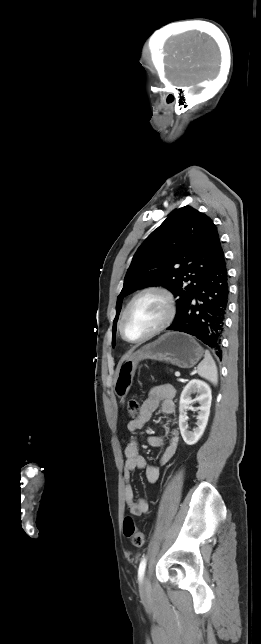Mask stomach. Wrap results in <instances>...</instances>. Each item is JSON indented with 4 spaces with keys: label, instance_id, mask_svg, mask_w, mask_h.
I'll return each mask as SVG.
<instances>
[{
    "label": "stomach",
    "instance_id": "obj_1",
    "mask_svg": "<svg viewBox=\"0 0 261 644\" xmlns=\"http://www.w3.org/2000/svg\"><path fill=\"white\" fill-rule=\"evenodd\" d=\"M203 348L185 333L169 332L135 352L125 355L117 369L114 391L120 398L126 397L140 361L151 359L173 364L179 368L194 367L202 358Z\"/></svg>",
    "mask_w": 261,
    "mask_h": 644
}]
</instances>
